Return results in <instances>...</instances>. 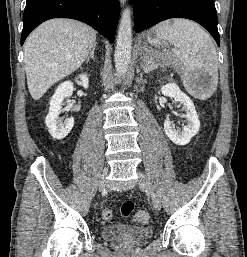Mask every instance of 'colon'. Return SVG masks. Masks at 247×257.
I'll use <instances>...</instances> for the list:
<instances>
[{"instance_id":"obj_1","label":"colon","mask_w":247,"mask_h":257,"mask_svg":"<svg viewBox=\"0 0 247 257\" xmlns=\"http://www.w3.org/2000/svg\"><path fill=\"white\" fill-rule=\"evenodd\" d=\"M135 205L132 201L128 200L122 203L120 213L123 217L128 218L134 213ZM102 217L105 221H110L113 218V212L110 209H105L102 212ZM134 220L141 224L148 223L149 215L146 211H138L134 215Z\"/></svg>"}]
</instances>
